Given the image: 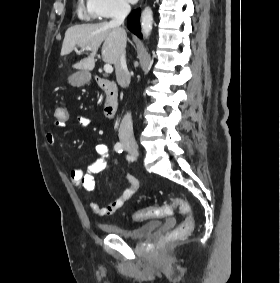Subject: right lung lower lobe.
I'll return each mask as SVG.
<instances>
[{"label": "right lung lower lobe", "instance_id": "right-lung-lower-lobe-1", "mask_svg": "<svg viewBox=\"0 0 280 283\" xmlns=\"http://www.w3.org/2000/svg\"><path fill=\"white\" fill-rule=\"evenodd\" d=\"M140 9L134 10L129 16L127 20L128 29L138 37L142 38V34L140 33Z\"/></svg>", "mask_w": 280, "mask_h": 283}]
</instances>
